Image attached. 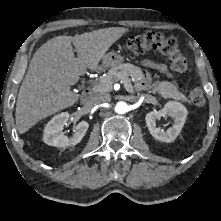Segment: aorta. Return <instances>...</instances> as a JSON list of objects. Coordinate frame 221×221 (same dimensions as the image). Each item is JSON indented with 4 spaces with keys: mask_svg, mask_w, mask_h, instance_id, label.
Returning <instances> with one entry per match:
<instances>
[{
    "mask_svg": "<svg viewBox=\"0 0 221 221\" xmlns=\"http://www.w3.org/2000/svg\"><path fill=\"white\" fill-rule=\"evenodd\" d=\"M128 111L127 103L120 101L115 106V112L118 114H125Z\"/></svg>",
    "mask_w": 221,
    "mask_h": 221,
    "instance_id": "aorta-1",
    "label": "aorta"
}]
</instances>
